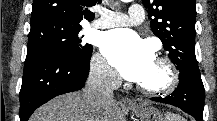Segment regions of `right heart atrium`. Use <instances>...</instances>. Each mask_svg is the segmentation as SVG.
<instances>
[{
  "instance_id": "d8ad5b80",
  "label": "right heart atrium",
  "mask_w": 217,
  "mask_h": 121,
  "mask_svg": "<svg viewBox=\"0 0 217 121\" xmlns=\"http://www.w3.org/2000/svg\"><path fill=\"white\" fill-rule=\"evenodd\" d=\"M90 71L92 76L103 84L114 86L119 81L117 73L109 66L100 53H96L92 56Z\"/></svg>"
}]
</instances>
